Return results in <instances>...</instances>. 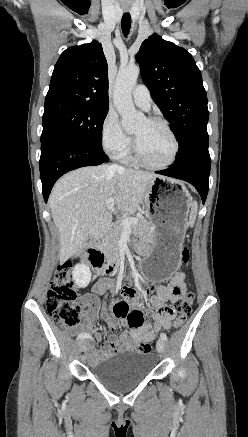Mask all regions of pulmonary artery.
<instances>
[{
  "mask_svg": "<svg viewBox=\"0 0 248 437\" xmlns=\"http://www.w3.org/2000/svg\"><path fill=\"white\" fill-rule=\"evenodd\" d=\"M132 97L136 105L144 110H149L151 106V95L148 88L143 85H137L132 91Z\"/></svg>",
  "mask_w": 248,
  "mask_h": 437,
  "instance_id": "obj_1",
  "label": "pulmonary artery"
}]
</instances>
